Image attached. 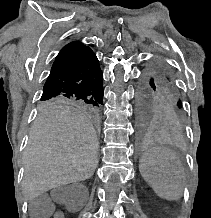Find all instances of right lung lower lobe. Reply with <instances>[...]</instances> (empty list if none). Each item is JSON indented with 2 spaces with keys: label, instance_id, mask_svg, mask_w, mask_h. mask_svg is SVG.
Returning <instances> with one entry per match:
<instances>
[{
  "label": "right lung lower lobe",
  "instance_id": "obj_1",
  "mask_svg": "<svg viewBox=\"0 0 211 218\" xmlns=\"http://www.w3.org/2000/svg\"><path fill=\"white\" fill-rule=\"evenodd\" d=\"M103 75L92 50L56 59L41 98L75 97L99 104L103 101Z\"/></svg>",
  "mask_w": 211,
  "mask_h": 218
}]
</instances>
